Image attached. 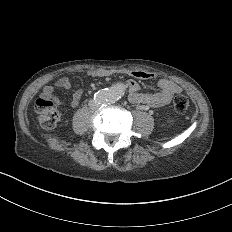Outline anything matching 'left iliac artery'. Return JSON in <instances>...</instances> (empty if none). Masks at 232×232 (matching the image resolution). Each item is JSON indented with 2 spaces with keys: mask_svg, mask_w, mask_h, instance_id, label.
I'll use <instances>...</instances> for the list:
<instances>
[{
  "mask_svg": "<svg viewBox=\"0 0 232 232\" xmlns=\"http://www.w3.org/2000/svg\"><path fill=\"white\" fill-rule=\"evenodd\" d=\"M119 95L116 91L112 90L108 93L107 102L109 105H114L117 103Z\"/></svg>",
  "mask_w": 232,
  "mask_h": 232,
  "instance_id": "44dca946",
  "label": "left iliac artery"
}]
</instances>
